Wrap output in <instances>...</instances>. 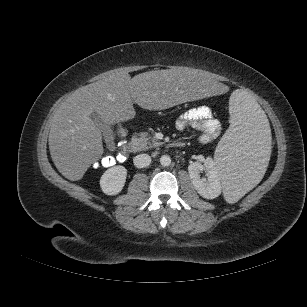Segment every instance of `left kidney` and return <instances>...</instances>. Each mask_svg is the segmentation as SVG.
Masks as SVG:
<instances>
[{
  "instance_id": "obj_1",
  "label": "left kidney",
  "mask_w": 307,
  "mask_h": 307,
  "mask_svg": "<svg viewBox=\"0 0 307 307\" xmlns=\"http://www.w3.org/2000/svg\"><path fill=\"white\" fill-rule=\"evenodd\" d=\"M205 170L206 178L200 173ZM189 177L197 192L206 199H214L221 194V177L212 158L208 157L204 164L200 162L191 163L188 166Z\"/></svg>"
}]
</instances>
